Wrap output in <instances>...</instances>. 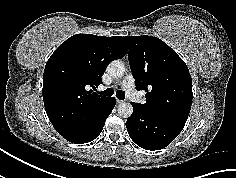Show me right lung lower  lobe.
<instances>
[{
  "label": "right lung lower lobe",
  "instance_id": "right-lung-lower-lobe-1",
  "mask_svg": "<svg viewBox=\"0 0 236 178\" xmlns=\"http://www.w3.org/2000/svg\"><path fill=\"white\" fill-rule=\"evenodd\" d=\"M115 103L116 101L112 97L106 109L102 113L101 117L95 123H93L92 125L88 126L87 128L81 131L70 133V134L64 135L63 137L69 142H72L75 144H84V143L93 141L101 133L103 126L105 124V121L107 117L111 114V111L115 106Z\"/></svg>",
  "mask_w": 236,
  "mask_h": 178
}]
</instances>
